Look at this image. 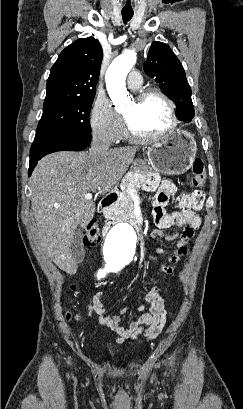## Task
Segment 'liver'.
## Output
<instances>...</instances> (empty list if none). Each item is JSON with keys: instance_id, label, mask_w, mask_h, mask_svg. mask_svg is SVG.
Wrapping results in <instances>:
<instances>
[{"instance_id": "1", "label": "liver", "mask_w": 243, "mask_h": 409, "mask_svg": "<svg viewBox=\"0 0 243 409\" xmlns=\"http://www.w3.org/2000/svg\"><path fill=\"white\" fill-rule=\"evenodd\" d=\"M138 150L120 147L98 156L60 151L38 162L30 178L31 207L42 247L61 270L75 274L70 247L77 227L84 228L95 214V204L85 195L110 191Z\"/></svg>"}]
</instances>
